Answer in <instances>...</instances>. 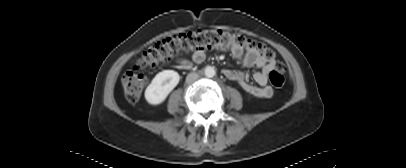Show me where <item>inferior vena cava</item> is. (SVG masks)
I'll return each mask as SVG.
<instances>
[{
	"mask_svg": "<svg viewBox=\"0 0 406 168\" xmlns=\"http://www.w3.org/2000/svg\"><path fill=\"white\" fill-rule=\"evenodd\" d=\"M199 78V75L195 72L189 73L186 77V82L187 83H192L196 81Z\"/></svg>",
	"mask_w": 406,
	"mask_h": 168,
	"instance_id": "602c4592",
	"label": "inferior vena cava"
}]
</instances>
